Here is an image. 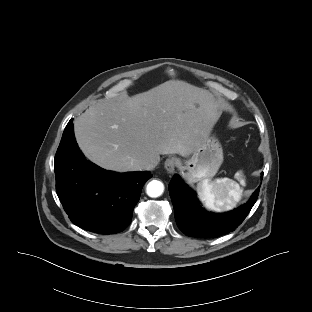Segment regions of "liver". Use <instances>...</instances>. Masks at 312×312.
Masks as SVG:
<instances>
[{"mask_svg": "<svg viewBox=\"0 0 312 312\" xmlns=\"http://www.w3.org/2000/svg\"><path fill=\"white\" fill-rule=\"evenodd\" d=\"M222 107L208 90L170 80L120 102L101 99L74 121L78 146L98 166L140 171L160 155L188 157L210 135Z\"/></svg>", "mask_w": 312, "mask_h": 312, "instance_id": "6515ba94", "label": "liver"}]
</instances>
